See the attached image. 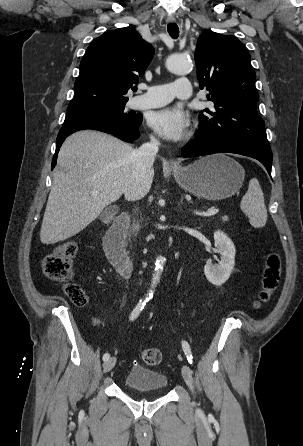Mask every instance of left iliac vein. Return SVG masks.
<instances>
[{
	"label": "left iliac vein",
	"mask_w": 303,
	"mask_h": 446,
	"mask_svg": "<svg viewBox=\"0 0 303 446\" xmlns=\"http://www.w3.org/2000/svg\"><path fill=\"white\" fill-rule=\"evenodd\" d=\"M181 372H182V376H183L184 381L186 382V384L188 385L190 390L192 392H194V382H193L191 369L189 368L188 365H183L182 369H181Z\"/></svg>",
	"instance_id": "left-iliac-vein-1"
}]
</instances>
